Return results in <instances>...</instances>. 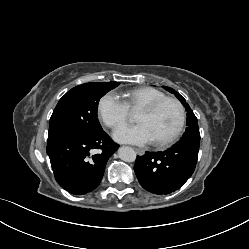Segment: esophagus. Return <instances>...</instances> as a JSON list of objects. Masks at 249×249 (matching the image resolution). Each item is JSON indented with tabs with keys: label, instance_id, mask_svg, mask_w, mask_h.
<instances>
[{
	"label": "esophagus",
	"instance_id": "esophagus-1",
	"mask_svg": "<svg viewBox=\"0 0 249 249\" xmlns=\"http://www.w3.org/2000/svg\"><path fill=\"white\" fill-rule=\"evenodd\" d=\"M134 150L138 153V155H143L144 154V150L141 148H134Z\"/></svg>",
	"mask_w": 249,
	"mask_h": 249
}]
</instances>
